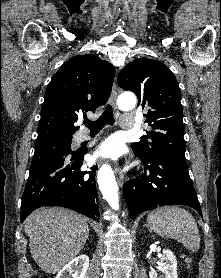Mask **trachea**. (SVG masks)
<instances>
[{"mask_svg": "<svg viewBox=\"0 0 221 278\" xmlns=\"http://www.w3.org/2000/svg\"><path fill=\"white\" fill-rule=\"evenodd\" d=\"M115 122L113 109L111 105H107L103 114L96 121L85 120L84 124L91 132L101 130L106 124L113 125Z\"/></svg>", "mask_w": 221, "mask_h": 278, "instance_id": "trachea-1", "label": "trachea"}]
</instances>
